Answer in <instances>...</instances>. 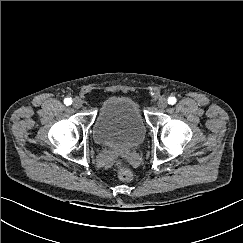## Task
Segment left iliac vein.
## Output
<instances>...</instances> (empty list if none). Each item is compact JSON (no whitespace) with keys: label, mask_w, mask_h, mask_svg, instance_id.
Returning <instances> with one entry per match:
<instances>
[{"label":"left iliac vein","mask_w":243,"mask_h":243,"mask_svg":"<svg viewBox=\"0 0 243 243\" xmlns=\"http://www.w3.org/2000/svg\"><path fill=\"white\" fill-rule=\"evenodd\" d=\"M168 103H167V100L166 98H163L161 97L158 102H157V106L160 108V109H165L167 107Z\"/></svg>","instance_id":"left-iliac-vein-1"}]
</instances>
